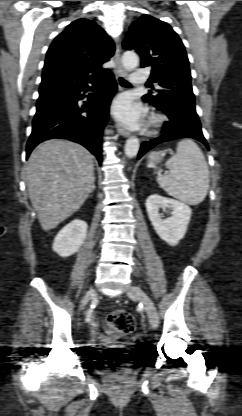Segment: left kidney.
I'll return each mask as SVG.
<instances>
[{"instance_id":"1","label":"left kidney","mask_w":242,"mask_h":416,"mask_svg":"<svg viewBox=\"0 0 242 416\" xmlns=\"http://www.w3.org/2000/svg\"><path fill=\"white\" fill-rule=\"evenodd\" d=\"M171 210L170 217L162 219L159 209ZM148 217L158 236L171 246H175L185 236L192 210L180 201L165 198L157 194L146 200Z\"/></svg>"}]
</instances>
